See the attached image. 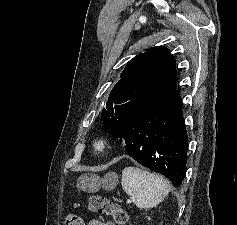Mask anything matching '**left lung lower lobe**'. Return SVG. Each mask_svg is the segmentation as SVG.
Here are the masks:
<instances>
[{
	"label": "left lung lower lobe",
	"mask_w": 237,
	"mask_h": 225,
	"mask_svg": "<svg viewBox=\"0 0 237 225\" xmlns=\"http://www.w3.org/2000/svg\"><path fill=\"white\" fill-rule=\"evenodd\" d=\"M129 156L180 186L186 174L188 138L179 93L134 114L113 136Z\"/></svg>",
	"instance_id": "left-lung-lower-lobe-1"
}]
</instances>
